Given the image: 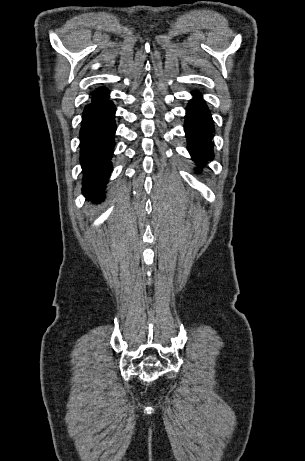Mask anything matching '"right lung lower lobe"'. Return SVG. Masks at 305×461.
I'll return each instance as SVG.
<instances>
[{"instance_id":"right-lung-lower-lobe-1","label":"right lung lower lobe","mask_w":305,"mask_h":461,"mask_svg":"<svg viewBox=\"0 0 305 461\" xmlns=\"http://www.w3.org/2000/svg\"><path fill=\"white\" fill-rule=\"evenodd\" d=\"M91 95V102L82 114L80 162L84 174L82 192L88 200L98 203L112 172L115 107L107 89L98 88Z\"/></svg>"}]
</instances>
